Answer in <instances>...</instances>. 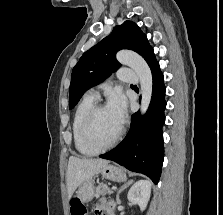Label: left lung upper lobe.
Wrapping results in <instances>:
<instances>
[{
  "mask_svg": "<svg viewBox=\"0 0 223 215\" xmlns=\"http://www.w3.org/2000/svg\"><path fill=\"white\" fill-rule=\"evenodd\" d=\"M121 49H130L140 54L150 69L157 62L146 35L135 23L125 21L116 26L108 37L84 53L73 68L69 88L70 109L74 108L85 91L119 68L115 54Z\"/></svg>",
  "mask_w": 223,
  "mask_h": 215,
  "instance_id": "5c2ea615",
  "label": "left lung upper lobe"
}]
</instances>
